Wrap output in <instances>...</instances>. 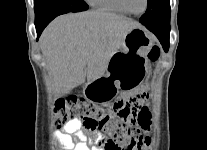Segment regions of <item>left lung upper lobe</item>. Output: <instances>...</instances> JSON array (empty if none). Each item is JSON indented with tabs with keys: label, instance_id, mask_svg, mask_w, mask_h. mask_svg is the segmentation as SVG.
I'll list each match as a JSON object with an SVG mask.
<instances>
[{
	"label": "left lung upper lobe",
	"instance_id": "obj_1",
	"mask_svg": "<svg viewBox=\"0 0 207 150\" xmlns=\"http://www.w3.org/2000/svg\"><path fill=\"white\" fill-rule=\"evenodd\" d=\"M143 25H161L170 23V1L148 0L146 13L140 18Z\"/></svg>",
	"mask_w": 207,
	"mask_h": 150
}]
</instances>
